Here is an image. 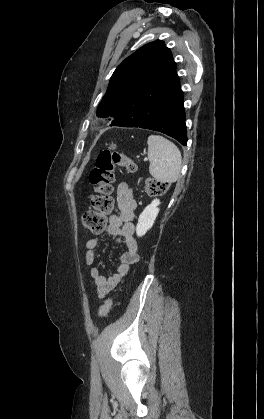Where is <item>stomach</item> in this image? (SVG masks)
I'll return each mask as SVG.
<instances>
[{
    "label": "stomach",
    "instance_id": "0dacf381",
    "mask_svg": "<svg viewBox=\"0 0 264 419\" xmlns=\"http://www.w3.org/2000/svg\"><path fill=\"white\" fill-rule=\"evenodd\" d=\"M116 145L115 144H111V146L109 147V149H115Z\"/></svg>",
    "mask_w": 264,
    "mask_h": 419
}]
</instances>
